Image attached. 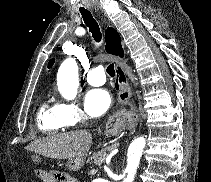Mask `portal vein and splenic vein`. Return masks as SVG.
I'll return each instance as SVG.
<instances>
[{"label":"portal vein and splenic vein","instance_id":"portal-vein-and-splenic-vein-1","mask_svg":"<svg viewBox=\"0 0 211 182\" xmlns=\"http://www.w3.org/2000/svg\"><path fill=\"white\" fill-rule=\"evenodd\" d=\"M117 152H118V150L116 149V150H113L112 153H117ZM90 173H91V174H95V173H96V170H95V169H92V170L90 171Z\"/></svg>","mask_w":211,"mask_h":182}]
</instances>
